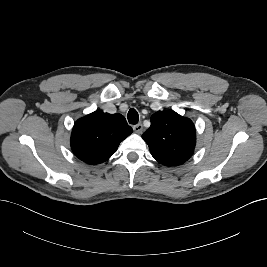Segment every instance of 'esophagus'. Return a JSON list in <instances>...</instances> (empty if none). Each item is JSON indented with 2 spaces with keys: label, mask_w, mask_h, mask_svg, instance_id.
Returning a JSON list of instances; mask_svg holds the SVG:
<instances>
[{
  "label": "esophagus",
  "mask_w": 267,
  "mask_h": 267,
  "mask_svg": "<svg viewBox=\"0 0 267 267\" xmlns=\"http://www.w3.org/2000/svg\"><path fill=\"white\" fill-rule=\"evenodd\" d=\"M133 130H134L136 133H138V134L142 133V131H143V126H142V124L139 123V124L134 125V126H133Z\"/></svg>",
  "instance_id": "34e87169"
}]
</instances>
